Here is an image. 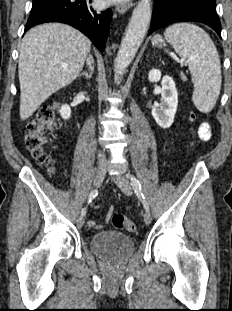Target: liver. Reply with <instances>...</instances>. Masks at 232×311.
Wrapping results in <instances>:
<instances>
[{
  "label": "liver",
  "instance_id": "obj_1",
  "mask_svg": "<svg viewBox=\"0 0 232 311\" xmlns=\"http://www.w3.org/2000/svg\"><path fill=\"white\" fill-rule=\"evenodd\" d=\"M90 46V40L80 31L60 23L43 24L25 34L18 62L22 120L76 79Z\"/></svg>",
  "mask_w": 232,
  "mask_h": 311
}]
</instances>
